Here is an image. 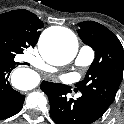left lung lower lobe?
I'll use <instances>...</instances> for the list:
<instances>
[{"instance_id": "0a47b994", "label": "left lung lower lobe", "mask_w": 124, "mask_h": 124, "mask_svg": "<svg viewBox=\"0 0 124 124\" xmlns=\"http://www.w3.org/2000/svg\"><path fill=\"white\" fill-rule=\"evenodd\" d=\"M41 90L48 96L50 116L56 124H92L104 114L84 94L76 100L67 99V94L71 92L70 86L43 81Z\"/></svg>"}]
</instances>
